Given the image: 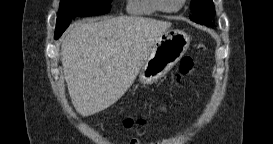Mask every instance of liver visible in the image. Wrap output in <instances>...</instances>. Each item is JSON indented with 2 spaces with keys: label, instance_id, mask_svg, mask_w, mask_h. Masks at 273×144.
I'll use <instances>...</instances> for the list:
<instances>
[{
  "label": "liver",
  "instance_id": "liver-1",
  "mask_svg": "<svg viewBox=\"0 0 273 144\" xmlns=\"http://www.w3.org/2000/svg\"><path fill=\"white\" fill-rule=\"evenodd\" d=\"M171 25L138 16L72 25L62 41L61 60L76 111L87 117L116 103Z\"/></svg>",
  "mask_w": 273,
  "mask_h": 144
}]
</instances>
